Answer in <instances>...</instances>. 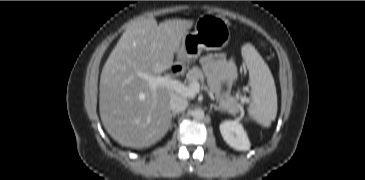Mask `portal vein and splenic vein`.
<instances>
[{"label": "portal vein and splenic vein", "instance_id": "18ae733b", "mask_svg": "<svg viewBox=\"0 0 365 180\" xmlns=\"http://www.w3.org/2000/svg\"><path fill=\"white\" fill-rule=\"evenodd\" d=\"M139 76L148 81L149 86L153 91H155L158 86H163L170 88L177 93L189 98L195 97L199 93L201 88V85L197 81H194L187 86L179 80L174 79L170 75L151 76L145 73H141L139 74ZM202 88L204 90H207L206 86H203Z\"/></svg>", "mask_w": 365, "mask_h": 180}]
</instances>
